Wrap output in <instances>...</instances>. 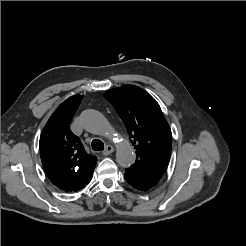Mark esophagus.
I'll return each instance as SVG.
<instances>
[{
	"instance_id": "obj_1",
	"label": "esophagus",
	"mask_w": 246,
	"mask_h": 246,
	"mask_svg": "<svg viewBox=\"0 0 246 246\" xmlns=\"http://www.w3.org/2000/svg\"><path fill=\"white\" fill-rule=\"evenodd\" d=\"M114 151L113 146L107 145L103 151V155L107 156L110 155Z\"/></svg>"
}]
</instances>
